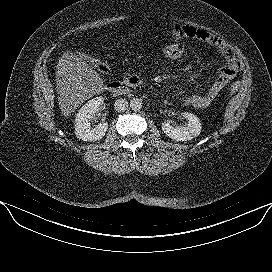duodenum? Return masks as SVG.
<instances>
[{"instance_id": "1", "label": "duodenum", "mask_w": 272, "mask_h": 272, "mask_svg": "<svg viewBox=\"0 0 272 272\" xmlns=\"http://www.w3.org/2000/svg\"><path fill=\"white\" fill-rule=\"evenodd\" d=\"M139 78L135 75H127L122 80L112 81L108 84L107 89L114 94H127L131 88L139 87Z\"/></svg>"}]
</instances>
